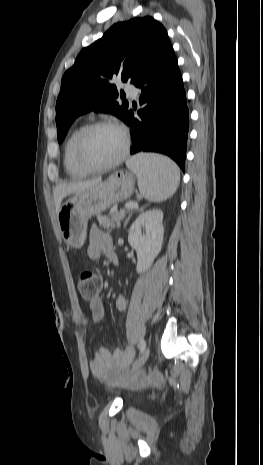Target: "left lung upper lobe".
<instances>
[{
  "label": "left lung upper lobe",
  "mask_w": 263,
  "mask_h": 465,
  "mask_svg": "<svg viewBox=\"0 0 263 465\" xmlns=\"http://www.w3.org/2000/svg\"><path fill=\"white\" fill-rule=\"evenodd\" d=\"M165 28L146 16L114 24L101 39L84 48L61 81L56 102L58 142L76 117L91 110L112 113L125 121L128 103L120 105L115 78L135 83L163 46Z\"/></svg>",
  "instance_id": "obj_1"
}]
</instances>
